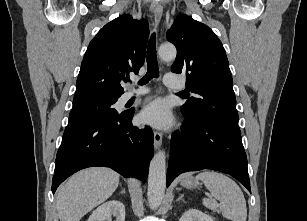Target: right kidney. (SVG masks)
<instances>
[{"label":"right kidney","instance_id":"right-kidney-1","mask_svg":"<svg viewBox=\"0 0 307 221\" xmlns=\"http://www.w3.org/2000/svg\"><path fill=\"white\" fill-rule=\"evenodd\" d=\"M116 218L115 221H125V206L118 200H110L99 206L90 215L87 221H106L111 217Z\"/></svg>","mask_w":307,"mask_h":221}]
</instances>
